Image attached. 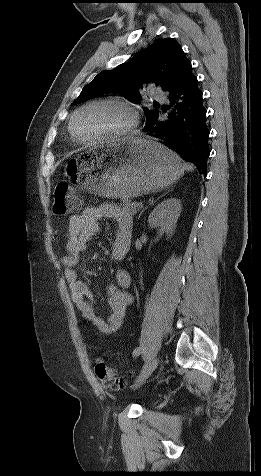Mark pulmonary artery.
Returning a JSON list of instances; mask_svg holds the SVG:
<instances>
[{
    "label": "pulmonary artery",
    "mask_w": 261,
    "mask_h": 476,
    "mask_svg": "<svg viewBox=\"0 0 261 476\" xmlns=\"http://www.w3.org/2000/svg\"><path fill=\"white\" fill-rule=\"evenodd\" d=\"M151 97L157 101H165L163 92L156 88L151 89Z\"/></svg>",
    "instance_id": "pulmonary-artery-1"
}]
</instances>
